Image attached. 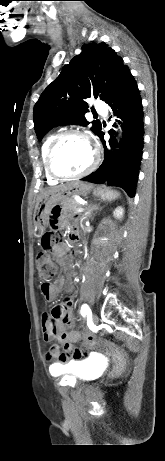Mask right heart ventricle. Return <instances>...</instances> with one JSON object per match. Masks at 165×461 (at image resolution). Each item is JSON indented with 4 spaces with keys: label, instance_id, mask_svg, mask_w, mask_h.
Listing matches in <instances>:
<instances>
[{
    "label": "right heart ventricle",
    "instance_id": "right-heart-ventricle-1",
    "mask_svg": "<svg viewBox=\"0 0 165 461\" xmlns=\"http://www.w3.org/2000/svg\"><path fill=\"white\" fill-rule=\"evenodd\" d=\"M55 135H49L43 142L42 147H41V155H42V160H43V165L45 168V157H46V152L47 149L51 143V141L54 139ZM45 173H46V178L50 184H55L57 182V179L53 178L50 176L45 168Z\"/></svg>",
    "mask_w": 165,
    "mask_h": 461
}]
</instances>
